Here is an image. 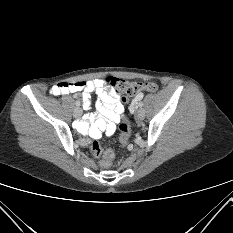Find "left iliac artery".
<instances>
[{
	"label": "left iliac artery",
	"mask_w": 233,
	"mask_h": 233,
	"mask_svg": "<svg viewBox=\"0 0 233 233\" xmlns=\"http://www.w3.org/2000/svg\"><path fill=\"white\" fill-rule=\"evenodd\" d=\"M142 97H143V95H138V96H137V99H138V100H141ZM139 106L142 107V106H143V103H142V102H139Z\"/></svg>",
	"instance_id": "obj_1"
}]
</instances>
